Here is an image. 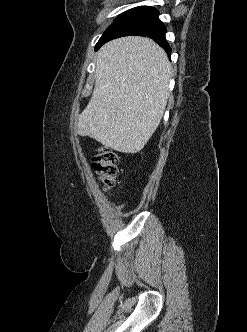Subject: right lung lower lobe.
Returning a JSON list of instances; mask_svg holds the SVG:
<instances>
[{"label": "right lung lower lobe", "instance_id": "1", "mask_svg": "<svg viewBox=\"0 0 247 332\" xmlns=\"http://www.w3.org/2000/svg\"><path fill=\"white\" fill-rule=\"evenodd\" d=\"M159 12L152 7L142 6L127 14L102 35L95 49L104 43L124 36H148L161 45L170 55L171 48L165 39L166 28L158 18Z\"/></svg>", "mask_w": 247, "mask_h": 332}]
</instances>
